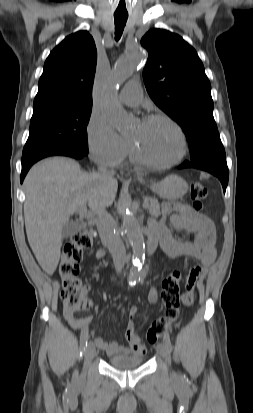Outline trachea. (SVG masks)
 <instances>
[{"label":"trachea","instance_id":"3493384b","mask_svg":"<svg viewBox=\"0 0 253 413\" xmlns=\"http://www.w3.org/2000/svg\"><path fill=\"white\" fill-rule=\"evenodd\" d=\"M127 19H128V14H114L115 40L116 41H118L121 38Z\"/></svg>","mask_w":253,"mask_h":413}]
</instances>
